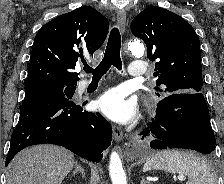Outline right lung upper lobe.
<instances>
[{"mask_svg": "<svg viewBox=\"0 0 224 184\" xmlns=\"http://www.w3.org/2000/svg\"><path fill=\"white\" fill-rule=\"evenodd\" d=\"M109 22L92 7H80L46 23L36 34L26 85H77L78 59L92 55L106 39Z\"/></svg>", "mask_w": 224, "mask_h": 184, "instance_id": "cb5924a9", "label": "right lung upper lobe"}]
</instances>
